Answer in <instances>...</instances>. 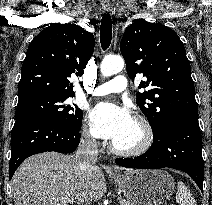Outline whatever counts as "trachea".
<instances>
[{"label":"trachea","instance_id":"trachea-1","mask_svg":"<svg viewBox=\"0 0 212 205\" xmlns=\"http://www.w3.org/2000/svg\"><path fill=\"white\" fill-rule=\"evenodd\" d=\"M112 39V21L109 13L103 15L100 27V42L103 50H106Z\"/></svg>","mask_w":212,"mask_h":205}]
</instances>
